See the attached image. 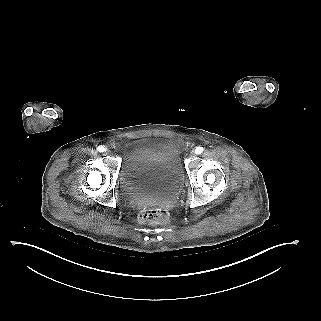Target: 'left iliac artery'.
<instances>
[{"instance_id": "left-iliac-artery-1", "label": "left iliac artery", "mask_w": 321, "mask_h": 321, "mask_svg": "<svg viewBox=\"0 0 321 321\" xmlns=\"http://www.w3.org/2000/svg\"><path fill=\"white\" fill-rule=\"evenodd\" d=\"M203 152V147H197L196 149H195V153L196 154H201Z\"/></svg>"}]
</instances>
